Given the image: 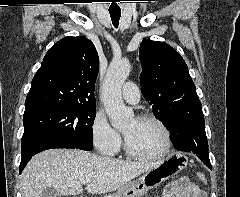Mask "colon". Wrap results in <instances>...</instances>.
Listing matches in <instances>:
<instances>
[{
    "label": "colon",
    "mask_w": 240,
    "mask_h": 197,
    "mask_svg": "<svg viewBox=\"0 0 240 197\" xmlns=\"http://www.w3.org/2000/svg\"><path fill=\"white\" fill-rule=\"evenodd\" d=\"M196 177L200 182H206V176L203 173H197Z\"/></svg>",
    "instance_id": "obj_1"
}]
</instances>
